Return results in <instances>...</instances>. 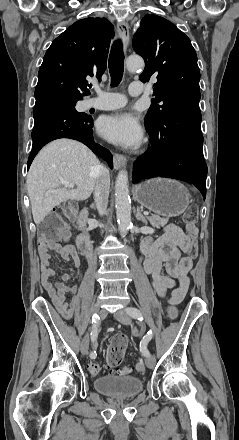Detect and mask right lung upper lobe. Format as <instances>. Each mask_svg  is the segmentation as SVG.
I'll return each mask as SVG.
<instances>
[{"mask_svg": "<svg viewBox=\"0 0 239 440\" xmlns=\"http://www.w3.org/2000/svg\"><path fill=\"white\" fill-rule=\"evenodd\" d=\"M114 27L106 18L78 20L47 50L38 73L36 100L89 95L87 76L101 79Z\"/></svg>", "mask_w": 239, "mask_h": 440, "instance_id": "right-lung-upper-lobe-1", "label": "right lung upper lobe"}]
</instances>
